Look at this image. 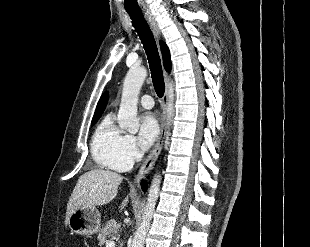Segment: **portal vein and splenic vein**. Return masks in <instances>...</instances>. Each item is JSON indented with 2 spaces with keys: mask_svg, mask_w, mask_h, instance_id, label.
<instances>
[{
  "mask_svg": "<svg viewBox=\"0 0 310 247\" xmlns=\"http://www.w3.org/2000/svg\"><path fill=\"white\" fill-rule=\"evenodd\" d=\"M116 246V243L114 241H109L107 244H106V247H115Z\"/></svg>",
  "mask_w": 310,
  "mask_h": 247,
  "instance_id": "portal-vein-and-splenic-vein-1",
  "label": "portal vein and splenic vein"
}]
</instances>
